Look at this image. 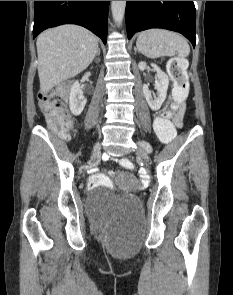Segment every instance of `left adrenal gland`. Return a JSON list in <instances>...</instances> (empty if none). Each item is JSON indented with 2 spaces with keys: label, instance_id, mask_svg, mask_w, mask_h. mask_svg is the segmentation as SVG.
<instances>
[{
  "label": "left adrenal gland",
  "instance_id": "1",
  "mask_svg": "<svg viewBox=\"0 0 233 295\" xmlns=\"http://www.w3.org/2000/svg\"><path fill=\"white\" fill-rule=\"evenodd\" d=\"M134 51H135V53L137 52V48L136 47H134Z\"/></svg>",
  "mask_w": 233,
  "mask_h": 295
}]
</instances>
